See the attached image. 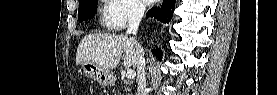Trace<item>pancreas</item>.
Here are the masks:
<instances>
[{
	"label": "pancreas",
	"instance_id": "cf45deb5",
	"mask_svg": "<svg viewBox=\"0 0 277 95\" xmlns=\"http://www.w3.org/2000/svg\"><path fill=\"white\" fill-rule=\"evenodd\" d=\"M123 83H124L125 87H127L128 81H127V80H124ZM125 90H127V89L125 88Z\"/></svg>",
	"mask_w": 277,
	"mask_h": 95
}]
</instances>
